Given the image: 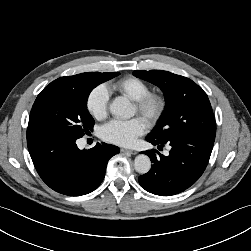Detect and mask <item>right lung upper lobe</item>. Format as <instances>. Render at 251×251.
Wrapping results in <instances>:
<instances>
[{"mask_svg":"<svg viewBox=\"0 0 251 251\" xmlns=\"http://www.w3.org/2000/svg\"><path fill=\"white\" fill-rule=\"evenodd\" d=\"M80 77V74L74 76H65L56 79L55 81L51 82L50 84H72L75 83Z\"/></svg>","mask_w":251,"mask_h":251,"instance_id":"1","label":"right lung upper lobe"}]
</instances>
